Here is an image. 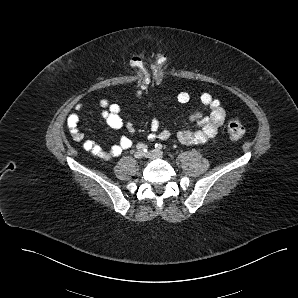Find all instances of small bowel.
<instances>
[{"label":"small bowel","mask_w":298,"mask_h":298,"mask_svg":"<svg viewBox=\"0 0 298 298\" xmlns=\"http://www.w3.org/2000/svg\"><path fill=\"white\" fill-rule=\"evenodd\" d=\"M177 100L180 103H187L190 100V95L187 92H180L177 95ZM200 101L210 110L208 115L200 112L191 114L190 120L198 125L197 130L183 129L177 133V138L180 143L184 145H197L209 142H215L218 135L219 128L223 125L226 118V110L221 105L220 101L214 98L209 93H203L200 96ZM85 105L79 103L75 107V112L70 114L67 118V125L74 140L81 142L83 148L102 159L110 160L118 157L123 151L132 146V141L128 136H122L118 143L111 146L108 150L101 147L99 143L91 138H87L79 129V115ZM101 109L100 115L106 124L113 129H126L130 134L135 132V128L131 122L125 121L120 114V106L118 104L110 103L106 99L99 102ZM151 107V104H148ZM170 137V132L167 129H161L160 123L157 119H152L150 122V131L147 135L148 140H166Z\"/></svg>","instance_id":"c3829d8e"}]
</instances>
